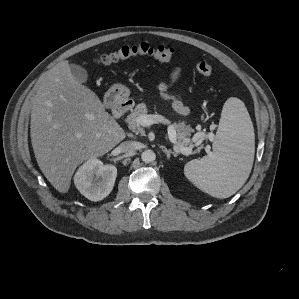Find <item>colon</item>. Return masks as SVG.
Returning a JSON list of instances; mask_svg holds the SVG:
<instances>
[{
    "label": "colon",
    "mask_w": 299,
    "mask_h": 299,
    "mask_svg": "<svg viewBox=\"0 0 299 299\" xmlns=\"http://www.w3.org/2000/svg\"><path fill=\"white\" fill-rule=\"evenodd\" d=\"M174 53L175 50L172 47L164 45L152 46L142 42L136 45L123 46L114 52L103 54L98 58L97 63L102 66H108L138 56H148L158 61L168 62L173 58ZM196 70L203 76H210L213 73V66L208 61L201 60L196 63Z\"/></svg>",
    "instance_id": "obj_1"
}]
</instances>
